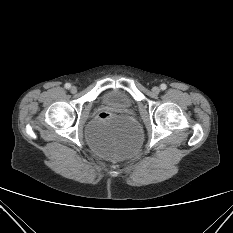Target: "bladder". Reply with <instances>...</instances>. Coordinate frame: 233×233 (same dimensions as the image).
<instances>
[{
	"label": "bladder",
	"instance_id": "31cf9c89",
	"mask_svg": "<svg viewBox=\"0 0 233 233\" xmlns=\"http://www.w3.org/2000/svg\"><path fill=\"white\" fill-rule=\"evenodd\" d=\"M102 101L119 109L129 108L134 103L132 96L121 89L109 90ZM87 139L98 156L109 160L125 159L136 153L141 141V131L133 120L127 119L91 130Z\"/></svg>",
	"mask_w": 233,
	"mask_h": 233
}]
</instances>
